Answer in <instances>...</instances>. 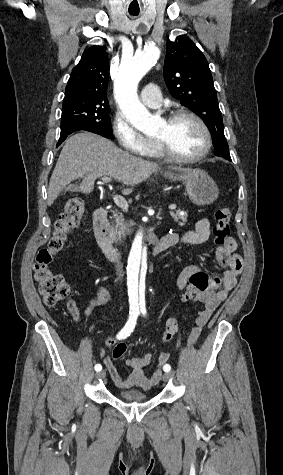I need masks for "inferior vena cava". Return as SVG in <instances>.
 <instances>
[{"instance_id":"1","label":"inferior vena cava","mask_w":283,"mask_h":475,"mask_svg":"<svg viewBox=\"0 0 283 475\" xmlns=\"http://www.w3.org/2000/svg\"><path fill=\"white\" fill-rule=\"evenodd\" d=\"M115 267H116V273L118 275V277H117V281H118V279H122V277L124 275L123 265H122L121 261H118V263H116Z\"/></svg>"}]
</instances>
